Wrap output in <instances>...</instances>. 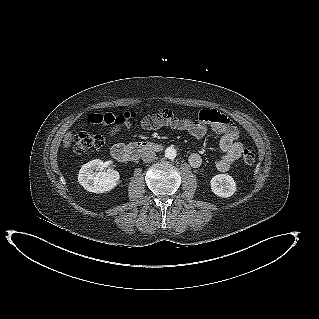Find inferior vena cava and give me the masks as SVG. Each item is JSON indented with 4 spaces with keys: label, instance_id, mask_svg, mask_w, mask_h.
<instances>
[{
    "label": "inferior vena cava",
    "instance_id": "obj_1",
    "mask_svg": "<svg viewBox=\"0 0 319 319\" xmlns=\"http://www.w3.org/2000/svg\"><path fill=\"white\" fill-rule=\"evenodd\" d=\"M156 157V153L152 150H146L142 153V160L146 163L152 162Z\"/></svg>",
    "mask_w": 319,
    "mask_h": 319
}]
</instances>
